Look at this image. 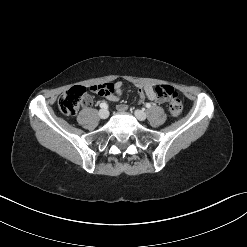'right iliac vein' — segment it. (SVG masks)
I'll return each mask as SVG.
<instances>
[{"mask_svg":"<svg viewBox=\"0 0 247 247\" xmlns=\"http://www.w3.org/2000/svg\"><path fill=\"white\" fill-rule=\"evenodd\" d=\"M98 115L101 119H106L108 116H109V112L107 109H101L99 112H98Z\"/></svg>","mask_w":247,"mask_h":247,"instance_id":"right-iliac-vein-1","label":"right iliac vein"}]
</instances>
